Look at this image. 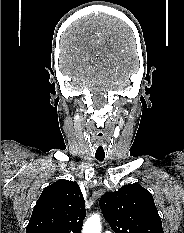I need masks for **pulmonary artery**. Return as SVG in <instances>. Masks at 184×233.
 <instances>
[{
    "instance_id": "pulmonary-artery-1",
    "label": "pulmonary artery",
    "mask_w": 184,
    "mask_h": 233,
    "mask_svg": "<svg viewBox=\"0 0 184 233\" xmlns=\"http://www.w3.org/2000/svg\"><path fill=\"white\" fill-rule=\"evenodd\" d=\"M105 233H112L111 231H106Z\"/></svg>"
}]
</instances>
